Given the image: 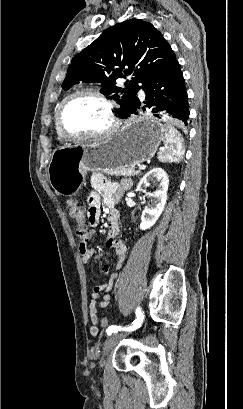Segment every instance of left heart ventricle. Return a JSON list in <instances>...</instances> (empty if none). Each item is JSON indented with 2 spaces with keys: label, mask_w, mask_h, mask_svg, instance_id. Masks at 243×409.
Masks as SVG:
<instances>
[{
  "label": "left heart ventricle",
  "mask_w": 243,
  "mask_h": 409,
  "mask_svg": "<svg viewBox=\"0 0 243 409\" xmlns=\"http://www.w3.org/2000/svg\"><path fill=\"white\" fill-rule=\"evenodd\" d=\"M65 130L73 135H89L102 131L108 126L105 106L89 95L71 99L63 114Z\"/></svg>",
  "instance_id": "b2bd125f"
}]
</instances>
